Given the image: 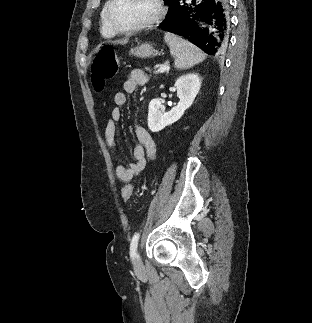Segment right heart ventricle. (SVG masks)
<instances>
[{"label": "right heart ventricle", "instance_id": "e07e8e85", "mask_svg": "<svg viewBox=\"0 0 312 323\" xmlns=\"http://www.w3.org/2000/svg\"><path fill=\"white\" fill-rule=\"evenodd\" d=\"M96 17L98 33H113L114 24L111 22V18H106V13H97Z\"/></svg>", "mask_w": 312, "mask_h": 323}]
</instances>
